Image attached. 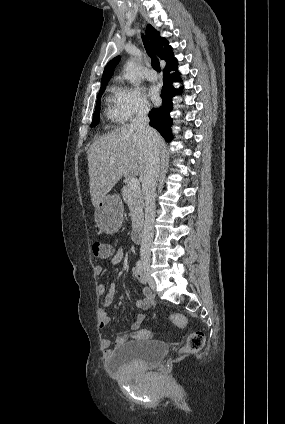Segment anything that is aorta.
<instances>
[{
    "label": "aorta",
    "instance_id": "aorta-1",
    "mask_svg": "<svg viewBox=\"0 0 285 424\" xmlns=\"http://www.w3.org/2000/svg\"><path fill=\"white\" fill-rule=\"evenodd\" d=\"M139 68L137 61L135 59H130L125 65V78L130 82L135 84L138 78Z\"/></svg>",
    "mask_w": 285,
    "mask_h": 424
}]
</instances>
